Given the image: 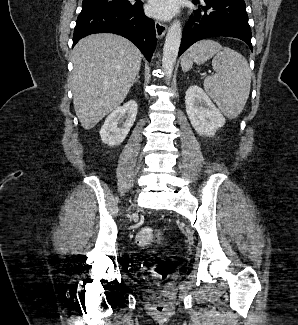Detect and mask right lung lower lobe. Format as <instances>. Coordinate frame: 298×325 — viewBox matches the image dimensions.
<instances>
[{"mask_svg":"<svg viewBox=\"0 0 298 325\" xmlns=\"http://www.w3.org/2000/svg\"><path fill=\"white\" fill-rule=\"evenodd\" d=\"M102 32L129 39L151 61L157 42L155 24L144 15L142 5L81 11L74 29L73 46L87 35Z\"/></svg>","mask_w":298,"mask_h":325,"instance_id":"obj_1","label":"right lung lower lobe"}]
</instances>
